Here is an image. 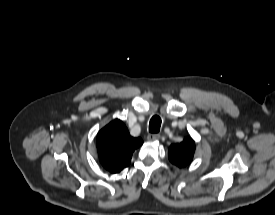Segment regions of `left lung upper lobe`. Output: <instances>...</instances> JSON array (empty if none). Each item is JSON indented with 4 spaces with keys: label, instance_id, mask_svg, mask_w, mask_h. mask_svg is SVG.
<instances>
[{
    "label": "left lung upper lobe",
    "instance_id": "1",
    "mask_svg": "<svg viewBox=\"0 0 275 215\" xmlns=\"http://www.w3.org/2000/svg\"><path fill=\"white\" fill-rule=\"evenodd\" d=\"M195 143L190 137H186L182 143L173 144L169 148V160L178 167L188 165L194 155Z\"/></svg>",
    "mask_w": 275,
    "mask_h": 215
}]
</instances>
